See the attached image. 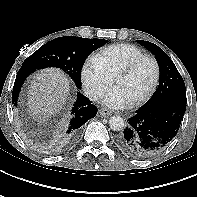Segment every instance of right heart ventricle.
<instances>
[{"instance_id":"e07e8e85","label":"right heart ventricle","mask_w":197,"mask_h":197,"mask_svg":"<svg viewBox=\"0 0 197 197\" xmlns=\"http://www.w3.org/2000/svg\"><path fill=\"white\" fill-rule=\"evenodd\" d=\"M144 55V51L137 46L121 43L110 45L96 53L93 57L105 72L114 78L121 68Z\"/></svg>"}]
</instances>
